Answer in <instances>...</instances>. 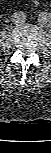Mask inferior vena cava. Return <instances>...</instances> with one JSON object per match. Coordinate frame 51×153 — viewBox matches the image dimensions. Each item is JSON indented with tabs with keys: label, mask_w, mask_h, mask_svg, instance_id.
<instances>
[{
	"label": "inferior vena cava",
	"mask_w": 51,
	"mask_h": 153,
	"mask_svg": "<svg viewBox=\"0 0 51 153\" xmlns=\"http://www.w3.org/2000/svg\"><path fill=\"white\" fill-rule=\"evenodd\" d=\"M11 20L14 24L24 23L26 20V15L22 11H16L12 14Z\"/></svg>",
	"instance_id": "inferior-vena-cava-1"
}]
</instances>
